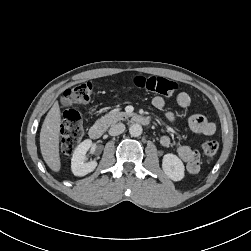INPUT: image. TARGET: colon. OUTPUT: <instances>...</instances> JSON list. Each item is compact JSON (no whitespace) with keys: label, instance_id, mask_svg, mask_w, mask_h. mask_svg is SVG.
<instances>
[{"label":"colon","instance_id":"obj_1","mask_svg":"<svg viewBox=\"0 0 251 251\" xmlns=\"http://www.w3.org/2000/svg\"><path fill=\"white\" fill-rule=\"evenodd\" d=\"M133 83L141 90L162 96H172L179 90L178 83L159 76H136ZM92 93L93 86L90 82L70 87L63 93L61 99L63 109L61 153L65 157L74 152L84 134L81 115L74 109V106L88 103ZM218 149L219 143L216 140H208L202 145V153L207 160H212L216 156Z\"/></svg>","mask_w":251,"mask_h":251}]
</instances>
